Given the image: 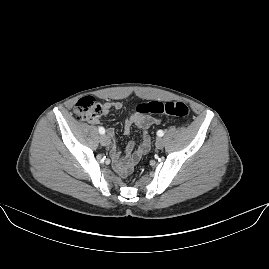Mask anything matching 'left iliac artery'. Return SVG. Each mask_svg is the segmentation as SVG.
Listing matches in <instances>:
<instances>
[{"instance_id":"1","label":"left iliac artery","mask_w":269,"mask_h":269,"mask_svg":"<svg viewBox=\"0 0 269 269\" xmlns=\"http://www.w3.org/2000/svg\"><path fill=\"white\" fill-rule=\"evenodd\" d=\"M157 135L162 137L164 135V132L162 130H158Z\"/></svg>"}]
</instances>
